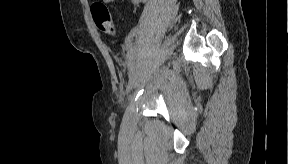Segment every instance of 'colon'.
Segmentation results:
<instances>
[{
	"label": "colon",
	"mask_w": 288,
	"mask_h": 164,
	"mask_svg": "<svg viewBox=\"0 0 288 164\" xmlns=\"http://www.w3.org/2000/svg\"><path fill=\"white\" fill-rule=\"evenodd\" d=\"M93 20L97 27L108 35H113L114 25L110 10L102 3L92 7Z\"/></svg>",
	"instance_id": "5ec220e1"
}]
</instances>
